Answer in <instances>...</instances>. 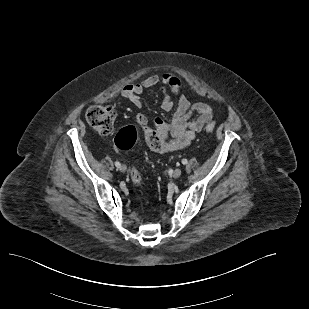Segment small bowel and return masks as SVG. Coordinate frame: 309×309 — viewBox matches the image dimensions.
I'll return each mask as SVG.
<instances>
[{
    "label": "small bowel",
    "mask_w": 309,
    "mask_h": 309,
    "mask_svg": "<svg viewBox=\"0 0 309 309\" xmlns=\"http://www.w3.org/2000/svg\"><path fill=\"white\" fill-rule=\"evenodd\" d=\"M161 84L163 94L161 108L170 111L174 107L173 96H177V108L170 122L161 118L154 120L155 132L160 137L161 146L159 152H170L188 146L201 132L205 125L213 118L212 107L205 102L191 103L188 97L181 93V81L172 73L165 72L161 75L150 74L137 83L123 87L121 94L129 99L137 108L142 107L141 95L145 90ZM195 115V117H193ZM137 122L146 126L147 116L140 112L137 114Z\"/></svg>",
    "instance_id": "small-bowel-1"
}]
</instances>
